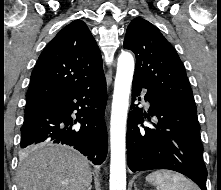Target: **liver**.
Returning a JSON list of instances; mask_svg holds the SVG:
<instances>
[{
    "label": "liver",
    "instance_id": "1",
    "mask_svg": "<svg viewBox=\"0 0 221 190\" xmlns=\"http://www.w3.org/2000/svg\"><path fill=\"white\" fill-rule=\"evenodd\" d=\"M91 182L88 159L73 148L38 145L20 155L19 190H87Z\"/></svg>",
    "mask_w": 221,
    "mask_h": 190
}]
</instances>
